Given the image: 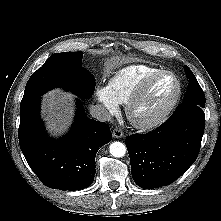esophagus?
Listing matches in <instances>:
<instances>
[{"mask_svg":"<svg viewBox=\"0 0 221 221\" xmlns=\"http://www.w3.org/2000/svg\"><path fill=\"white\" fill-rule=\"evenodd\" d=\"M112 133H113V137L115 138H121L124 135V133L120 129H117V128H115Z\"/></svg>","mask_w":221,"mask_h":221,"instance_id":"34e87169","label":"esophagus"}]
</instances>
